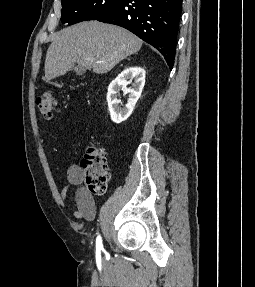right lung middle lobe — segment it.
Masks as SVG:
<instances>
[{"instance_id":"1","label":"right lung middle lobe","mask_w":255,"mask_h":287,"mask_svg":"<svg viewBox=\"0 0 255 287\" xmlns=\"http://www.w3.org/2000/svg\"><path fill=\"white\" fill-rule=\"evenodd\" d=\"M124 0H61L62 23L69 25L87 20H95L108 9Z\"/></svg>"}]
</instances>
